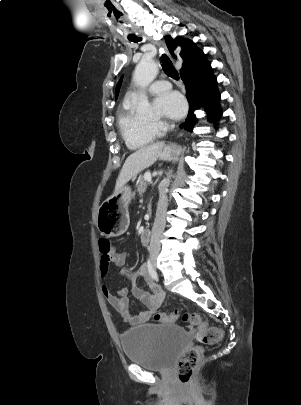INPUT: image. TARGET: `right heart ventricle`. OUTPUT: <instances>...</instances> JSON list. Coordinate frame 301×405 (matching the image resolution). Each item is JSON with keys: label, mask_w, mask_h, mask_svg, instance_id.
<instances>
[{"label": "right heart ventricle", "mask_w": 301, "mask_h": 405, "mask_svg": "<svg viewBox=\"0 0 301 405\" xmlns=\"http://www.w3.org/2000/svg\"><path fill=\"white\" fill-rule=\"evenodd\" d=\"M118 128L126 146L136 150L151 143L156 132L150 124L139 120L133 112V102L125 101L117 118Z\"/></svg>", "instance_id": "1"}]
</instances>
